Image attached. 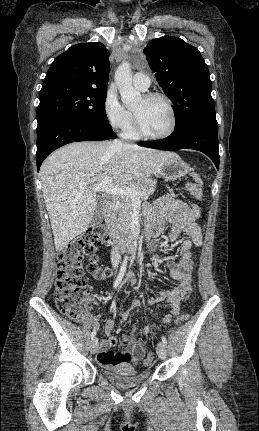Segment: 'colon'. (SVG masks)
Returning <instances> with one entry per match:
<instances>
[{"label": "colon", "mask_w": 259, "mask_h": 431, "mask_svg": "<svg viewBox=\"0 0 259 431\" xmlns=\"http://www.w3.org/2000/svg\"><path fill=\"white\" fill-rule=\"evenodd\" d=\"M192 182L187 184L190 194L202 198V178L199 173H192ZM192 219L200 217L202 208L194 200L188 203ZM108 240V232L102 226L88 229L78 238L72 240L59 254L56 261V284L54 299L58 310L71 320L79 321L86 313V299L89 294V284L82 267V258L91 253L94 248ZM88 273L98 281L105 280L110 272L98 263L93 256L87 266ZM189 318L188 313H179L176 324L181 325ZM154 362V356L149 353L143 360V365L149 366Z\"/></svg>", "instance_id": "5ec220e1"}]
</instances>
